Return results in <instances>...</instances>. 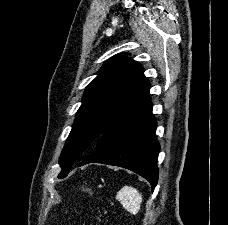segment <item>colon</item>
<instances>
[{"label": "colon", "mask_w": 228, "mask_h": 225, "mask_svg": "<svg viewBox=\"0 0 228 225\" xmlns=\"http://www.w3.org/2000/svg\"><path fill=\"white\" fill-rule=\"evenodd\" d=\"M82 188L88 193H92L93 191L92 187L89 185H82Z\"/></svg>", "instance_id": "1"}]
</instances>
